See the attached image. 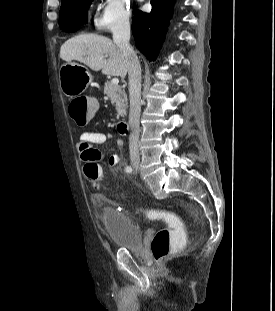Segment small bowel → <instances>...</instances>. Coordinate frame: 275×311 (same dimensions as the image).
<instances>
[{
    "mask_svg": "<svg viewBox=\"0 0 275 311\" xmlns=\"http://www.w3.org/2000/svg\"><path fill=\"white\" fill-rule=\"evenodd\" d=\"M110 134L103 132H92L85 131L79 135L78 141L76 143V148L79 152L80 158L87 165L90 162H94V160H101V156L103 155L102 149H94L92 145L104 144L108 138H110ZM117 149H122L124 146V141L122 139H117L115 141ZM121 162V159L118 154L112 153L107 159V163L111 166H116Z\"/></svg>",
    "mask_w": 275,
    "mask_h": 311,
    "instance_id": "small-bowel-1",
    "label": "small bowel"
}]
</instances>
